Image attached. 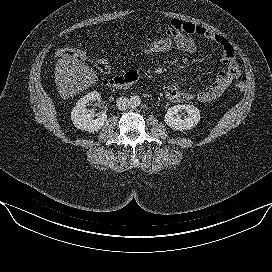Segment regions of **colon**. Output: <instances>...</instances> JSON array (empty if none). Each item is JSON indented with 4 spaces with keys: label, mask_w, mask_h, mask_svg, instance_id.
Wrapping results in <instances>:
<instances>
[{
    "label": "colon",
    "mask_w": 272,
    "mask_h": 272,
    "mask_svg": "<svg viewBox=\"0 0 272 272\" xmlns=\"http://www.w3.org/2000/svg\"><path fill=\"white\" fill-rule=\"evenodd\" d=\"M127 45L132 51L145 56L172 55L177 52H182L178 43L170 37L132 39L128 41ZM56 55L61 58L80 61L90 59L87 52L73 47L60 48L57 50ZM94 64L96 69L102 73H108L111 70V66L107 60H96ZM236 88L239 91H244L245 85L243 82H239L236 84Z\"/></svg>",
    "instance_id": "colon-1"
}]
</instances>
